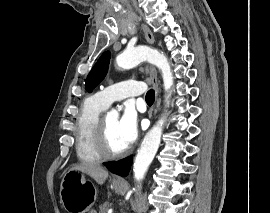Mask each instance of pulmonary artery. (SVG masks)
<instances>
[{
	"label": "pulmonary artery",
	"instance_id": "1",
	"mask_svg": "<svg viewBox=\"0 0 270 213\" xmlns=\"http://www.w3.org/2000/svg\"><path fill=\"white\" fill-rule=\"evenodd\" d=\"M144 91L145 87L142 82L124 80L98 91L94 97L101 106L106 108L113 101L139 96L143 94Z\"/></svg>",
	"mask_w": 270,
	"mask_h": 213
}]
</instances>
